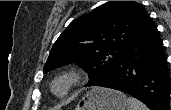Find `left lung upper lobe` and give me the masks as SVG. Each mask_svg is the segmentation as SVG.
Masks as SVG:
<instances>
[{
	"mask_svg": "<svg viewBox=\"0 0 171 110\" xmlns=\"http://www.w3.org/2000/svg\"><path fill=\"white\" fill-rule=\"evenodd\" d=\"M150 17L134 1H109L70 23L54 43L44 73L74 63L94 86L116 67L127 48L145 30Z\"/></svg>",
	"mask_w": 171,
	"mask_h": 110,
	"instance_id": "left-lung-upper-lobe-1",
	"label": "left lung upper lobe"
}]
</instances>
